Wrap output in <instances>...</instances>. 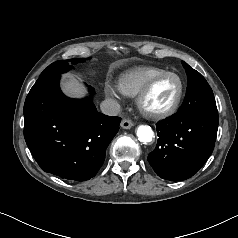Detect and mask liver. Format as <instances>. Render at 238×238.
Wrapping results in <instances>:
<instances>
[{
    "mask_svg": "<svg viewBox=\"0 0 238 238\" xmlns=\"http://www.w3.org/2000/svg\"><path fill=\"white\" fill-rule=\"evenodd\" d=\"M62 88L66 94L72 97H82L86 91L84 87L73 76H68L62 84Z\"/></svg>",
    "mask_w": 238,
    "mask_h": 238,
    "instance_id": "6515ba94",
    "label": "liver"
}]
</instances>
